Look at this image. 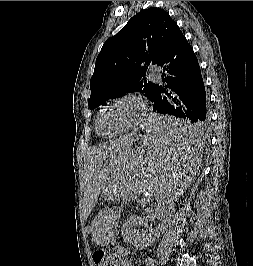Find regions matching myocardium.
<instances>
[{
    "label": "myocardium",
    "instance_id": "myocardium-1",
    "mask_svg": "<svg viewBox=\"0 0 253 266\" xmlns=\"http://www.w3.org/2000/svg\"><path fill=\"white\" fill-rule=\"evenodd\" d=\"M122 101H130L137 106V112L134 115L133 119L130 121V123L127 126H125L123 129L115 132L112 135L101 134L99 132V129H98V124H99V119H100L101 114L103 113L104 110H106L110 106L115 105V104L122 102ZM147 112H148V102L144 97H142L139 94L131 93V92L121 94V95L115 97L114 99H112L111 101H109L108 103H106L105 105H103L101 107V109L98 111L97 116H96V120H95L96 133L102 138H112V137L119 136V135L131 130L135 126H137L145 118V116L147 115Z\"/></svg>",
    "mask_w": 253,
    "mask_h": 266
}]
</instances>
